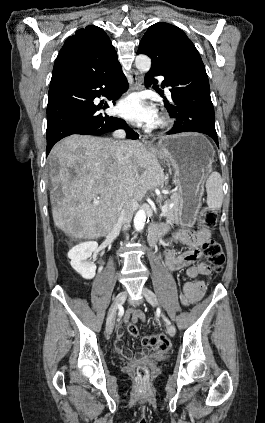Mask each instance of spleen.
Here are the masks:
<instances>
[{
    "label": "spleen",
    "mask_w": 265,
    "mask_h": 423,
    "mask_svg": "<svg viewBox=\"0 0 265 423\" xmlns=\"http://www.w3.org/2000/svg\"><path fill=\"white\" fill-rule=\"evenodd\" d=\"M207 205L215 211L219 210L223 202L222 178L218 172L209 175L206 181Z\"/></svg>",
    "instance_id": "obj_1"
}]
</instances>
